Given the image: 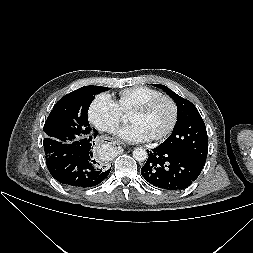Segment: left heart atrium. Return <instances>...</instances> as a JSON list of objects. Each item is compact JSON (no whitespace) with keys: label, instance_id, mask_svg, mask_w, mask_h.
I'll return each mask as SVG.
<instances>
[{"label":"left heart atrium","instance_id":"39dd6f15","mask_svg":"<svg viewBox=\"0 0 253 253\" xmlns=\"http://www.w3.org/2000/svg\"><path fill=\"white\" fill-rule=\"evenodd\" d=\"M118 136L124 141L133 143L146 142L152 139L150 134L137 123H132L131 125L123 127L118 132Z\"/></svg>","mask_w":253,"mask_h":253}]
</instances>
